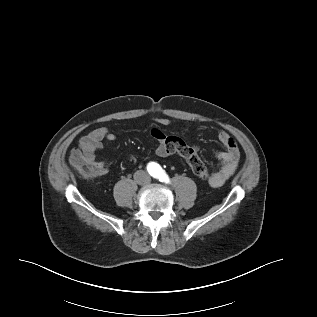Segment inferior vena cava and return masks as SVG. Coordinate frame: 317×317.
<instances>
[{
  "label": "inferior vena cava",
  "mask_w": 317,
  "mask_h": 317,
  "mask_svg": "<svg viewBox=\"0 0 317 317\" xmlns=\"http://www.w3.org/2000/svg\"><path fill=\"white\" fill-rule=\"evenodd\" d=\"M134 180L137 184L145 185L151 181V178L147 172L143 170H138L134 173Z\"/></svg>",
  "instance_id": "1"
}]
</instances>
